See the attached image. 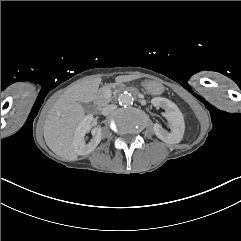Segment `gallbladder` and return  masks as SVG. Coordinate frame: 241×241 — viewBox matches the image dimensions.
<instances>
[{
	"instance_id": "1",
	"label": "gallbladder",
	"mask_w": 241,
	"mask_h": 241,
	"mask_svg": "<svg viewBox=\"0 0 241 241\" xmlns=\"http://www.w3.org/2000/svg\"><path fill=\"white\" fill-rule=\"evenodd\" d=\"M81 105L83 106L84 109H87V110H90V109L92 108V107H91L89 104H87V103L81 102Z\"/></svg>"
}]
</instances>
